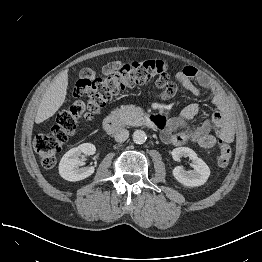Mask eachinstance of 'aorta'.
Instances as JSON below:
<instances>
[{"label": "aorta", "mask_w": 262, "mask_h": 262, "mask_svg": "<svg viewBox=\"0 0 262 262\" xmlns=\"http://www.w3.org/2000/svg\"><path fill=\"white\" fill-rule=\"evenodd\" d=\"M133 141L136 144H144L146 142L147 136L143 130H136L133 133Z\"/></svg>", "instance_id": "1"}]
</instances>
